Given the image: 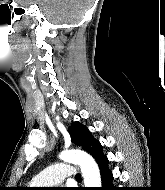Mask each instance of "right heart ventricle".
I'll return each instance as SVG.
<instances>
[{
  "instance_id": "1",
  "label": "right heart ventricle",
  "mask_w": 165,
  "mask_h": 190,
  "mask_svg": "<svg viewBox=\"0 0 165 190\" xmlns=\"http://www.w3.org/2000/svg\"><path fill=\"white\" fill-rule=\"evenodd\" d=\"M35 186L36 185L33 182L30 183V187H35Z\"/></svg>"
}]
</instances>
